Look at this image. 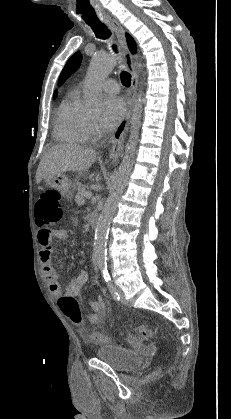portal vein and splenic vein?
I'll list each match as a JSON object with an SVG mask.
<instances>
[{"mask_svg":"<svg viewBox=\"0 0 231 419\" xmlns=\"http://www.w3.org/2000/svg\"><path fill=\"white\" fill-rule=\"evenodd\" d=\"M85 197H86L87 199L91 198V197H92V193H91V192H89V191H87V192L85 193Z\"/></svg>","mask_w":231,"mask_h":419,"instance_id":"1","label":"portal vein and splenic vein"}]
</instances>
